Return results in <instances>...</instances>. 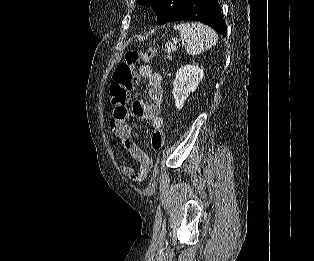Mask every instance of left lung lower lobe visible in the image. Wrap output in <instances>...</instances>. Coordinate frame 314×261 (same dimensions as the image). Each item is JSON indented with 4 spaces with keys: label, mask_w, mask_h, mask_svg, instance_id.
<instances>
[{
    "label": "left lung lower lobe",
    "mask_w": 314,
    "mask_h": 261,
    "mask_svg": "<svg viewBox=\"0 0 314 261\" xmlns=\"http://www.w3.org/2000/svg\"><path fill=\"white\" fill-rule=\"evenodd\" d=\"M181 20L200 21L222 35L227 34V27L217 0H183L169 22Z\"/></svg>",
    "instance_id": "0a47b994"
}]
</instances>
